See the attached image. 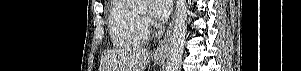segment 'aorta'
I'll list each match as a JSON object with an SVG mask.
<instances>
[{
  "mask_svg": "<svg viewBox=\"0 0 301 71\" xmlns=\"http://www.w3.org/2000/svg\"><path fill=\"white\" fill-rule=\"evenodd\" d=\"M132 3L135 6H143L147 4V0H132ZM186 33L187 3L186 0H177L174 27L168 52L166 71H180Z\"/></svg>",
  "mask_w": 301,
  "mask_h": 71,
  "instance_id": "1",
  "label": "aorta"
}]
</instances>
